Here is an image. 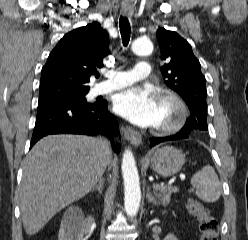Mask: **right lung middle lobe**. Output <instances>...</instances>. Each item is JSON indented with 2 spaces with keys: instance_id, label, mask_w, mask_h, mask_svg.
I'll return each instance as SVG.
<instances>
[{
  "instance_id": "right-lung-middle-lobe-1",
  "label": "right lung middle lobe",
  "mask_w": 248,
  "mask_h": 240,
  "mask_svg": "<svg viewBox=\"0 0 248 240\" xmlns=\"http://www.w3.org/2000/svg\"><path fill=\"white\" fill-rule=\"evenodd\" d=\"M87 93L88 92L77 94V95H69V96H64V97H60L57 99H60V100L65 99V100H70V101H75V102L87 103L86 98H85V95ZM57 99H54V100H57Z\"/></svg>"
}]
</instances>
